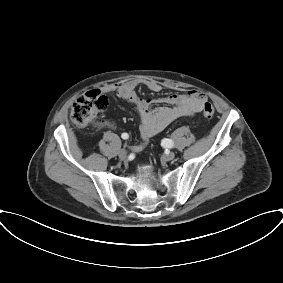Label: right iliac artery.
<instances>
[{
	"mask_svg": "<svg viewBox=\"0 0 283 283\" xmlns=\"http://www.w3.org/2000/svg\"><path fill=\"white\" fill-rule=\"evenodd\" d=\"M121 137L123 138V139H128V134L127 133H123L122 135H121Z\"/></svg>",
	"mask_w": 283,
	"mask_h": 283,
	"instance_id": "obj_1",
	"label": "right iliac artery"
}]
</instances>
